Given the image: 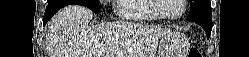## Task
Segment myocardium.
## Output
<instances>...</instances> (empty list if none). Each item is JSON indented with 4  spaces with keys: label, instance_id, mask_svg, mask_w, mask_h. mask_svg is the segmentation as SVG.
<instances>
[{
    "label": "myocardium",
    "instance_id": "myocardium-1",
    "mask_svg": "<svg viewBox=\"0 0 249 57\" xmlns=\"http://www.w3.org/2000/svg\"><path fill=\"white\" fill-rule=\"evenodd\" d=\"M181 1V5H182V9L178 14H174V15H166L164 13H162L161 11V2L162 0H152L151 6L152 9L154 10V12L158 15V17L165 19V20H176L179 19L180 17H182L186 11V0H180Z\"/></svg>",
    "mask_w": 249,
    "mask_h": 57
}]
</instances>
